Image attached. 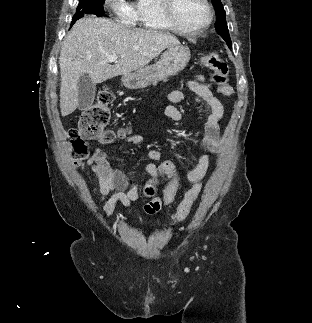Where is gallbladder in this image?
Returning <instances> with one entry per match:
<instances>
[{"instance_id": "gallbladder-1", "label": "gallbladder", "mask_w": 312, "mask_h": 323, "mask_svg": "<svg viewBox=\"0 0 312 323\" xmlns=\"http://www.w3.org/2000/svg\"><path fill=\"white\" fill-rule=\"evenodd\" d=\"M95 84H92L88 74L80 76L78 82V108L84 110L88 106H92L95 98Z\"/></svg>"}]
</instances>
